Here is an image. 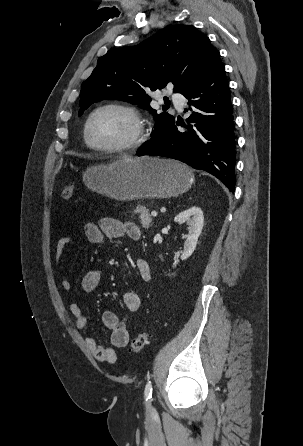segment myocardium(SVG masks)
<instances>
[{
  "instance_id": "1",
  "label": "myocardium",
  "mask_w": 303,
  "mask_h": 446,
  "mask_svg": "<svg viewBox=\"0 0 303 446\" xmlns=\"http://www.w3.org/2000/svg\"><path fill=\"white\" fill-rule=\"evenodd\" d=\"M118 110L127 114L133 121L135 129L131 138L116 146H98L95 145L90 138V125L93 118L101 111L104 110ZM147 125L142 113L135 107L121 104V103H107L95 108L88 116L85 126H84V139L87 146L95 151L106 152V153H117L124 152L134 149L142 144L146 137Z\"/></svg>"
}]
</instances>
